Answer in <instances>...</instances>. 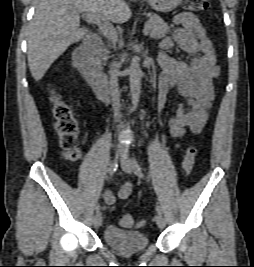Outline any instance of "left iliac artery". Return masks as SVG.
I'll use <instances>...</instances> for the list:
<instances>
[{"mask_svg":"<svg viewBox=\"0 0 254 267\" xmlns=\"http://www.w3.org/2000/svg\"><path fill=\"white\" fill-rule=\"evenodd\" d=\"M133 167H134V173L138 177L144 178V174L142 172V169L135 158L133 159ZM156 211H157V213L162 214V208L159 205H156Z\"/></svg>","mask_w":254,"mask_h":267,"instance_id":"obj_1","label":"left iliac artery"}]
</instances>
